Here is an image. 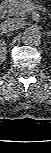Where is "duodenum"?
I'll return each instance as SVG.
<instances>
[{"instance_id":"410a0bca","label":"duodenum","mask_w":51,"mask_h":153,"mask_svg":"<svg viewBox=\"0 0 51 153\" xmlns=\"http://www.w3.org/2000/svg\"><path fill=\"white\" fill-rule=\"evenodd\" d=\"M8 6H9V0H6L2 3V5L0 6V17H3L6 14Z\"/></svg>"}]
</instances>
